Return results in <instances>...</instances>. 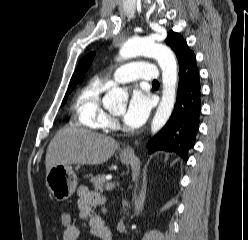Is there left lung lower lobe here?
<instances>
[{"mask_svg":"<svg viewBox=\"0 0 248 240\" xmlns=\"http://www.w3.org/2000/svg\"><path fill=\"white\" fill-rule=\"evenodd\" d=\"M200 114V76L193 53L179 68L178 91L173 112L166 125L149 140L148 153L157 150L174 152L187 161L188 151L195 145Z\"/></svg>","mask_w":248,"mask_h":240,"instance_id":"0a47b994","label":"left lung lower lobe"}]
</instances>
